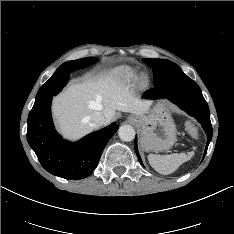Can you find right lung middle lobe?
I'll list each match as a JSON object with an SVG mask.
<instances>
[{
	"label": "right lung middle lobe",
	"mask_w": 234,
	"mask_h": 234,
	"mask_svg": "<svg viewBox=\"0 0 234 234\" xmlns=\"http://www.w3.org/2000/svg\"><path fill=\"white\" fill-rule=\"evenodd\" d=\"M97 61V58L87 57L83 59L68 61L63 63L57 70H66V71H74L76 69H81L87 67Z\"/></svg>",
	"instance_id": "dd1d6c3e"
}]
</instances>
